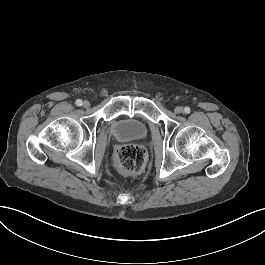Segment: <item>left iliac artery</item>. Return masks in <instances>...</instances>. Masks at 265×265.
I'll list each match as a JSON object with an SVG mask.
<instances>
[{
    "label": "left iliac artery",
    "mask_w": 265,
    "mask_h": 265,
    "mask_svg": "<svg viewBox=\"0 0 265 265\" xmlns=\"http://www.w3.org/2000/svg\"><path fill=\"white\" fill-rule=\"evenodd\" d=\"M184 112H185L186 114H189V113H190V108H189V107H185V108H184Z\"/></svg>",
    "instance_id": "44dca946"
}]
</instances>
